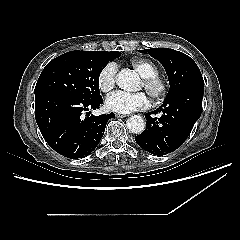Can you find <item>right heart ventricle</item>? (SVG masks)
<instances>
[{"mask_svg":"<svg viewBox=\"0 0 240 240\" xmlns=\"http://www.w3.org/2000/svg\"><path fill=\"white\" fill-rule=\"evenodd\" d=\"M131 65L134 70L141 76L157 75L158 71L156 66L149 60L146 59H132Z\"/></svg>","mask_w":240,"mask_h":240,"instance_id":"right-heart-ventricle-1","label":"right heart ventricle"}]
</instances>
